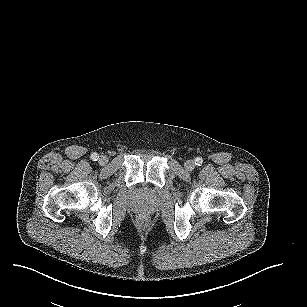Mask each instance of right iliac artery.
<instances>
[{
	"label": "right iliac artery",
	"instance_id": "right-iliac-artery-1",
	"mask_svg": "<svg viewBox=\"0 0 307 307\" xmlns=\"http://www.w3.org/2000/svg\"><path fill=\"white\" fill-rule=\"evenodd\" d=\"M98 158H99V156L97 155V153H93V154L91 155V159H92L93 161H97Z\"/></svg>",
	"mask_w": 307,
	"mask_h": 307
}]
</instances>
